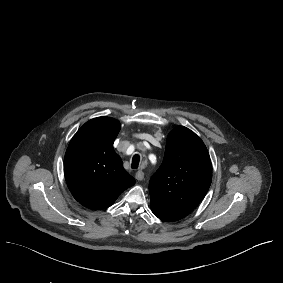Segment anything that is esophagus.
<instances>
[{
    "label": "esophagus",
    "mask_w": 283,
    "mask_h": 283,
    "mask_svg": "<svg viewBox=\"0 0 283 283\" xmlns=\"http://www.w3.org/2000/svg\"><path fill=\"white\" fill-rule=\"evenodd\" d=\"M135 178L139 181L143 180L144 179V172L141 171V170H138L136 173H135Z\"/></svg>",
    "instance_id": "obj_1"
}]
</instances>
